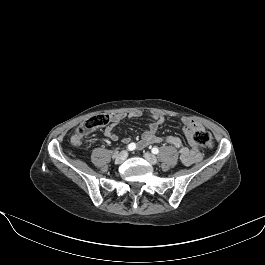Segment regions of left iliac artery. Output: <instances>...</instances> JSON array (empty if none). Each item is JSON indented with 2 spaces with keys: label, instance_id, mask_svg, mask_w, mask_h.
Masks as SVG:
<instances>
[{
  "label": "left iliac artery",
  "instance_id": "1",
  "mask_svg": "<svg viewBox=\"0 0 265 265\" xmlns=\"http://www.w3.org/2000/svg\"><path fill=\"white\" fill-rule=\"evenodd\" d=\"M151 152L153 154H158L159 153V149L157 147H153L152 150H151Z\"/></svg>",
  "mask_w": 265,
  "mask_h": 265
}]
</instances>
